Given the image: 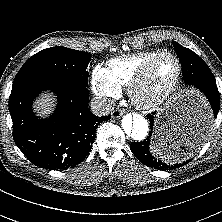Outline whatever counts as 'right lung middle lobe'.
Here are the masks:
<instances>
[{
  "label": "right lung middle lobe",
  "mask_w": 222,
  "mask_h": 222,
  "mask_svg": "<svg viewBox=\"0 0 222 222\" xmlns=\"http://www.w3.org/2000/svg\"><path fill=\"white\" fill-rule=\"evenodd\" d=\"M91 55L66 47L44 49L30 57L21 67L17 76L43 74L61 78L70 84L87 87L86 70Z\"/></svg>",
  "instance_id": "1"
}]
</instances>
